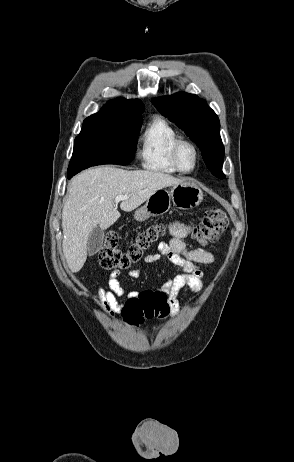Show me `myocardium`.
Returning a JSON list of instances; mask_svg holds the SVG:
<instances>
[{
    "label": "myocardium",
    "mask_w": 294,
    "mask_h": 462,
    "mask_svg": "<svg viewBox=\"0 0 294 462\" xmlns=\"http://www.w3.org/2000/svg\"><path fill=\"white\" fill-rule=\"evenodd\" d=\"M184 145L190 146L192 148L193 152H194V165H193V167L191 169H184L180 164L179 153H180L181 147L184 146ZM199 159H200V152H199V149H198L197 145L193 141H191L189 139L179 138L173 144L172 149H171V161H172L174 167L179 172H182V173H191V172H193L198 166Z\"/></svg>",
    "instance_id": "myocardium-1"
}]
</instances>
